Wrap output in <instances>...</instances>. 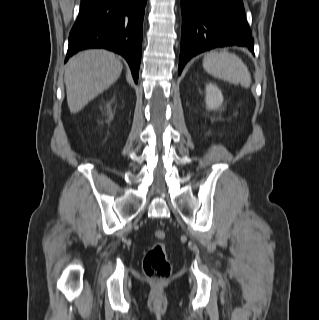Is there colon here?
Here are the masks:
<instances>
[{
    "instance_id": "5ec220e1",
    "label": "colon",
    "mask_w": 319,
    "mask_h": 320,
    "mask_svg": "<svg viewBox=\"0 0 319 320\" xmlns=\"http://www.w3.org/2000/svg\"><path fill=\"white\" fill-rule=\"evenodd\" d=\"M158 241L147 251L143 259V270L151 279H165L170 276L172 268L166 254V233L163 230H156L153 233Z\"/></svg>"
}]
</instances>
